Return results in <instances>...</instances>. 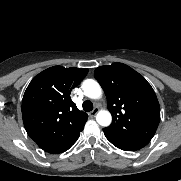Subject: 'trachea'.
I'll list each match as a JSON object with an SVG mask.
<instances>
[{"label": "trachea", "instance_id": "trachea-1", "mask_svg": "<svg viewBox=\"0 0 181 181\" xmlns=\"http://www.w3.org/2000/svg\"><path fill=\"white\" fill-rule=\"evenodd\" d=\"M83 110L86 112L92 111L93 110V104L91 101L86 100L85 102H83Z\"/></svg>", "mask_w": 181, "mask_h": 181}]
</instances>
